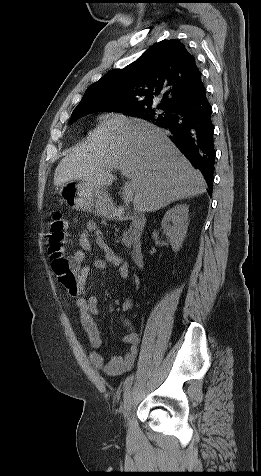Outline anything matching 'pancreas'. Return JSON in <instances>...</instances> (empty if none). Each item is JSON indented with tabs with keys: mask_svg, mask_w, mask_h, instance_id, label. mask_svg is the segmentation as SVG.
I'll return each mask as SVG.
<instances>
[{
	"mask_svg": "<svg viewBox=\"0 0 261 476\" xmlns=\"http://www.w3.org/2000/svg\"><path fill=\"white\" fill-rule=\"evenodd\" d=\"M133 242H134V231L132 229V226L130 225V229L124 231L122 235V243L127 248H130Z\"/></svg>",
	"mask_w": 261,
	"mask_h": 476,
	"instance_id": "cf45deb5",
	"label": "pancreas"
}]
</instances>
